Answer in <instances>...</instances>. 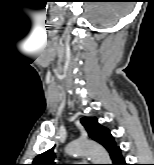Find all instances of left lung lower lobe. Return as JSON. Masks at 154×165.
Listing matches in <instances>:
<instances>
[{
  "label": "left lung lower lobe",
  "instance_id": "0a47b994",
  "mask_svg": "<svg viewBox=\"0 0 154 165\" xmlns=\"http://www.w3.org/2000/svg\"><path fill=\"white\" fill-rule=\"evenodd\" d=\"M112 162H113L112 165H127V164L125 163L124 158H123L122 155H121V150H120V148H118V149L116 150L115 154L113 155V157H112Z\"/></svg>",
  "mask_w": 154,
  "mask_h": 165
}]
</instances>
